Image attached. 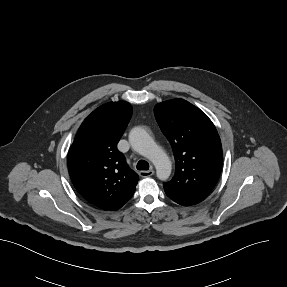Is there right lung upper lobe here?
<instances>
[{"label":"right lung upper lobe","instance_id":"obj_1","mask_svg":"<svg viewBox=\"0 0 287 287\" xmlns=\"http://www.w3.org/2000/svg\"><path fill=\"white\" fill-rule=\"evenodd\" d=\"M132 115L125 101L109 102L94 110L81 124L68 153V170L79 194L106 209L132 196L138 175L117 144Z\"/></svg>","mask_w":287,"mask_h":287}]
</instances>
